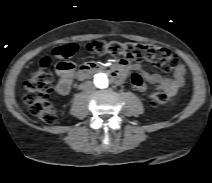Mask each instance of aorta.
Here are the masks:
<instances>
[{"mask_svg": "<svg viewBox=\"0 0 212 183\" xmlns=\"http://www.w3.org/2000/svg\"><path fill=\"white\" fill-rule=\"evenodd\" d=\"M92 84L96 89L103 90L106 89L109 85L108 74L104 71L97 72L93 76Z\"/></svg>", "mask_w": 212, "mask_h": 183, "instance_id": "aorta-1", "label": "aorta"}]
</instances>
